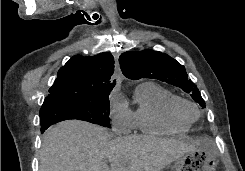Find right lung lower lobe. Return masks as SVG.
I'll use <instances>...</instances> for the list:
<instances>
[{
	"mask_svg": "<svg viewBox=\"0 0 245 171\" xmlns=\"http://www.w3.org/2000/svg\"><path fill=\"white\" fill-rule=\"evenodd\" d=\"M49 126H51V125H43V126H41V132L43 133Z\"/></svg>",
	"mask_w": 245,
	"mask_h": 171,
	"instance_id": "1",
	"label": "right lung lower lobe"
}]
</instances>
